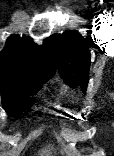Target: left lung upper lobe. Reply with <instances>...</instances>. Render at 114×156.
<instances>
[{
  "mask_svg": "<svg viewBox=\"0 0 114 156\" xmlns=\"http://www.w3.org/2000/svg\"><path fill=\"white\" fill-rule=\"evenodd\" d=\"M44 45L65 82L73 87L80 85L85 93L91 55L83 37L77 31H68L50 36Z\"/></svg>",
  "mask_w": 114,
  "mask_h": 156,
  "instance_id": "1",
  "label": "left lung upper lobe"
}]
</instances>
